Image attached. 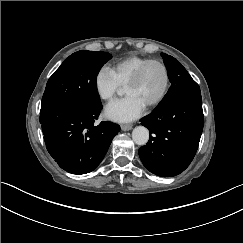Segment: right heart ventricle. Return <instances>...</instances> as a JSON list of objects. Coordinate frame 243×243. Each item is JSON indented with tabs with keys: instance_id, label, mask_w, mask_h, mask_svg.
Wrapping results in <instances>:
<instances>
[{
	"instance_id": "e07e8e85",
	"label": "right heart ventricle",
	"mask_w": 243,
	"mask_h": 243,
	"mask_svg": "<svg viewBox=\"0 0 243 243\" xmlns=\"http://www.w3.org/2000/svg\"><path fill=\"white\" fill-rule=\"evenodd\" d=\"M148 59L141 55H130L112 64L111 69L119 85H125L136 69Z\"/></svg>"
}]
</instances>
